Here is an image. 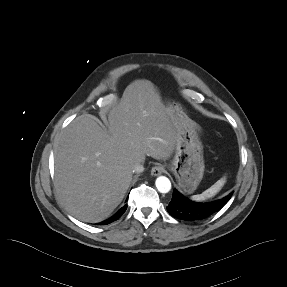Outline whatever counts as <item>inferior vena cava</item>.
Masks as SVG:
<instances>
[{"label": "inferior vena cava", "instance_id": "602c4592", "mask_svg": "<svg viewBox=\"0 0 287 287\" xmlns=\"http://www.w3.org/2000/svg\"><path fill=\"white\" fill-rule=\"evenodd\" d=\"M144 171V166L141 163H135L132 167L133 173H141Z\"/></svg>", "mask_w": 287, "mask_h": 287}]
</instances>
